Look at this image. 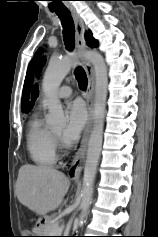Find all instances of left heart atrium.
Here are the masks:
<instances>
[{"mask_svg":"<svg viewBox=\"0 0 158 237\" xmlns=\"http://www.w3.org/2000/svg\"><path fill=\"white\" fill-rule=\"evenodd\" d=\"M87 115L84 105L74 101L67 107V125L61 134L63 142L67 145L75 143L84 129Z\"/></svg>","mask_w":158,"mask_h":237,"instance_id":"39dd6f15","label":"left heart atrium"}]
</instances>
